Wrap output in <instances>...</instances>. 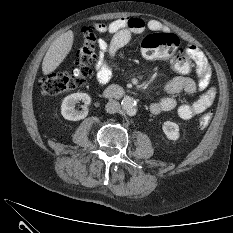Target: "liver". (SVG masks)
<instances>
[{"instance_id": "6515ba94", "label": "liver", "mask_w": 233, "mask_h": 233, "mask_svg": "<svg viewBox=\"0 0 233 233\" xmlns=\"http://www.w3.org/2000/svg\"><path fill=\"white\" fill-rule=\"evenodd\" d=\"M74 40L73 31L69 30L60 35L47 50L43 62L42 71L44 75L53 72L69 54Z\"/></svg>"}]
</instances>
